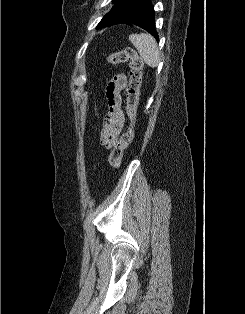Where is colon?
Returning <instances> with one entry per match:
<instances>
[{"mask_svg":"<svg viewBox=\"0 0 245 314\" xmlns=\"http://www.w3.org/2000/svg\"><path fill=\"white\" fill-rule=\"evenodd\" d=\"M129 63V84L127 87V112L130 118V126L119 140L115 143L109 155V164L112 168L121 165L125 149L134 139V124L136 121L137 108L139 103L140 87L142 83L143 61L134 48L127 47L123 50L110 54L107 58L108 64Z\"/></svg>","mask_w":245,"mask_h":314,"instance_id":"5ec220e1","label":"colon"}]
</instances>
